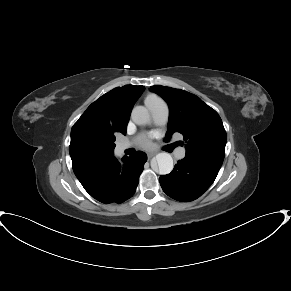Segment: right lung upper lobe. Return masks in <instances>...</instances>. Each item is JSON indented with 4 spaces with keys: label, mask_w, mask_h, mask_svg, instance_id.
I'll use <instances>...</instances> for the list:
<instances>
[{
    "label": "right lung upper lobe",
    "mask_w": 291,
    "mask_h": 291,
    "mask_svg": "<svg viewBox=\"0 0 291 291\" xmlns=\"http://www.w3.org/2000/svg\"><path fill=\"white\" fill-rule=\"evenodd\" d=\"M144 86L117 87L93 102L71 129L72 163L113 155L115 135L126 134L132 108Z\"/></svg>",
    "instance_id": "1"
}]
</instances>
